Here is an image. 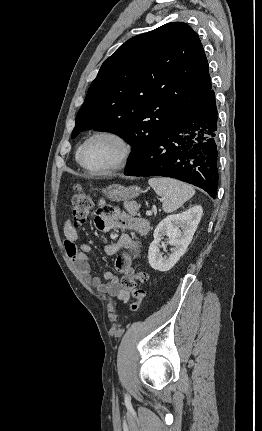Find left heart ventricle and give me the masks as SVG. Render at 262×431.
I'll return each mask as SVG.
<instances>
[{"label": "left heart ventricle", "instance_id": "obj_1", "mask_svg": "<svg viewBox=\"0 0 262 431\" xmlns=\"http://www.w3.org/2000/svg\"><path fill=\"white\" fill-rule=\"evenodd\" d=\"M120 156L119 144L111 138H97L89 143L84 155L86 166L95 171L114 166Z\"/></svg>", "mask_w": 262, "mask_h": 431}]
</instances>
